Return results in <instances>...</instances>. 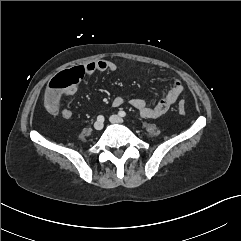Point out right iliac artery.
I'll list each match as a JSON object with an SVG mask.
<instances>
[{"label":"right iliac artery","instance_id":"82829eb1","mask_svg":"<svg viewBox=\"0 0 241 241\" xmlns=\"http://www.w3.org/2000/svg\"><path fill=\"white\" fill-rule=\"evenodd\" d=\"M97 120L103 122V121H104V117H103L102 115H99V116L97 117Z\"/></svg>","mask_w":241,"mask_h":241}]
</instances>
